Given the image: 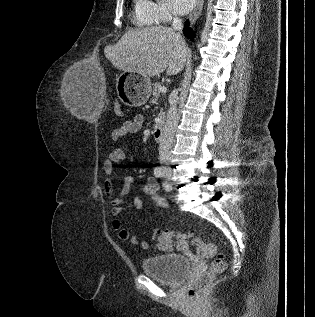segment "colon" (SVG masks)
Returning a JSON list of instances; mask_svg holds the SVG:
<instances>
[{"instance_id":"obj_1","label":"colon","mask_w":315,"mask_h":317,"mask_svg":"<svg viewBox=\"0 0 315 317\" xmlns=\"http://www.w3.org/2000/svg\"><path fill=\"white\" fill-rule=\"evenodd\" d=\"M115 111L120 116L123 114L119 104L116 106ZM187 240H191L195 245L198 255L202 257H214L208 270L195 278L187 289L188 298L193 300L201 295L216 275L224 272L226 269V258L224 253L218 251V246L215 243L206 244L202 242L192 231H161L158 235V247L163 251H169L175 243L180 245Z\"/></svg>"}]
</instances>
